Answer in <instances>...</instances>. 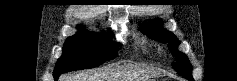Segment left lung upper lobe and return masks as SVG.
<instances>
[{
  "label": "left lung upper lobe",
  "mask_w": 237,
  "mask_h": 81,
  "mask_svg": "<svg viewBox=\"0 0 237 81\" xmlns=\"http://www.w3.org/2000/svg\"><path fill=\"white\" fill-rule=\"evenodd\" d=\"M159 20L154 21V26L143 33L147 34L150 38L158 40L163 43H168V47L176 58V62L172 64L173 69L181 76L193 81L192 66L187 56L178 51L179 40L174 34L160 27Z\"/></svg>",
  "instance_id": "left-lung-upper-lobe-1"
}]
</instances>
